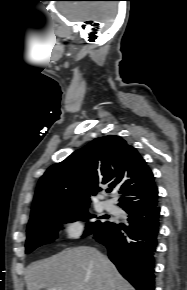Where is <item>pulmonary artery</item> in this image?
<instances>
[{
  "label": "pulmonary artery",
  "instance_id": "pulmonary-artery-1",
  "mask_svg": "<svg viewBox=\"0 0 187 290\" xmlns=\"http://www.w3.org/2000/svg\"><path fill=\"white\" fill-rule=\"evenodd\" d=\"M104 208L108 211V212H117V208L116 206L111 202V201H106L104 203Z\"/></svg>",
  "mask_w": 187,
  "mask_h": 290
}]
</instances>
